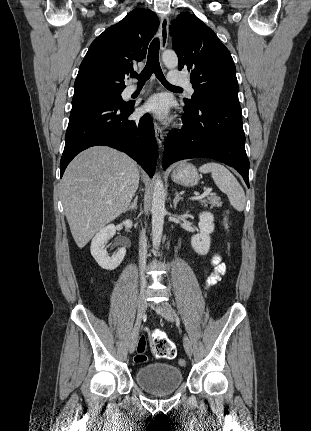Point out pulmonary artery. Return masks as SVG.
Returning a JSON list of instances; mask_svg holds the SVG:
<instances>
[{"mask_svg":"<svg viewBox=\"0 0 311 431\" xmlns=\"http://www.w3.org/2000/svg\"><path fill=\"white\" fill-rule=\"evenodd\" d=\"M168 80H169L171 83H173V84L185 86V87H186V89H187L191 94H193V93H194V88H193L192 84H191L189 81H181V80L175 79V78H173V77H172V73H170V74L168 75ZM146 87H147V84H144V85H136V84H135V85H129V86L126 88V93H127L128 95H131V94H133V93H135V92H137V91H140V90H142V89H144V88H146Z\"/></svg>","mask_w":311,"mask_h":431,"instance_id":"pulmonary-artery-1","label":"pulmonary artery"}]
</instances>
